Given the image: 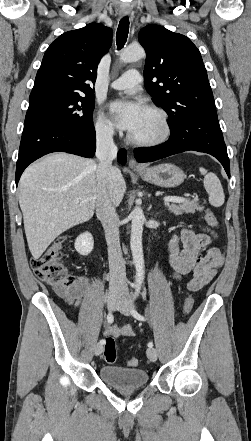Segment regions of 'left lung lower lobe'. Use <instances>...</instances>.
I'll use <instances>...</instances> for the list:
<instances>
[{"label": "left lung lower lobe", "instance_id": "1", "mask_svg": "<svg viewBox=\"0 0 251 441\" xmlns=\"http://www.w3.org/2000/svg\"><path fill=\"white\" fill-rule=\"evenodd\" d=\"M194 150L217 158L230 178V164L217 116L195 115L171 129L167 142L134 150L137 162H151L184 151Z\"/></svg>", "mask_w": 251, "mask_h": 441}]
</instances>
